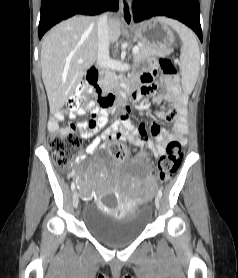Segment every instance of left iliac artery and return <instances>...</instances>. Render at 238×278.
Listing matches in <instances>:
<instances>
[{"instance_id":"obj_1","label":"left iliac artery","mask_w":238,"mask_h":278,"mask_svg":"<svg viewBox=\"0 0 238 278\" xmlns=\"http://www.w3.org/2000/svg\"><path fill=\"white\" fill-rule=\"evenodd\" d=\"M158 197H159V198L162 197V190H161V189L158 191Z\"/></svg>"}]
</instances>
